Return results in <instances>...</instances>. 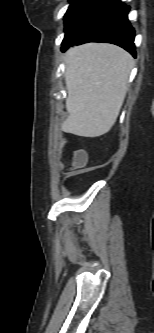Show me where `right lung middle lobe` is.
I'll use <instances>...</instances> for the list:
<instances>
[{"label": "right lung middle lobe", "mask_w": 154, "mask_h": 333, "mask_svg": "<svg viewBox=\"0 0 154 333\" xmlns=\"http://www.w3.org/2000/svg\"><path fill=\"white\" fill-rule=\"evenodd\" d=\"M102 0H70L65 14V37L78 29L101 4Z\"/></svg>", "instance_id": "right-lung-middle-lobe-1"}]
</instances>
